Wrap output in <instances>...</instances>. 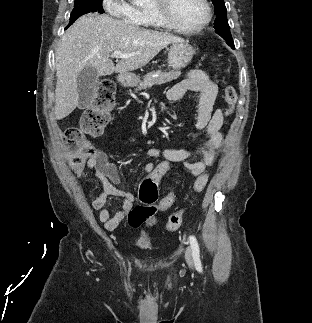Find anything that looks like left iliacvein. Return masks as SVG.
<instances>
[{"label": "left iliac vein", "mask_w": 312, "mask_h": 323, "mask_svg": "<svg viewBox=\"0 0 312 323\" xmlns=\"http://www.w3.org/2000/svg\"><path fill=\"white\" fill-rule=\"evenodd\" d=\"M185 259H186V262L189 264V266L193 267L192 250L190 247H187L186 249Z\"/></svg>", "instance_id": "left-iliac-vein-1"}]
</instances>
